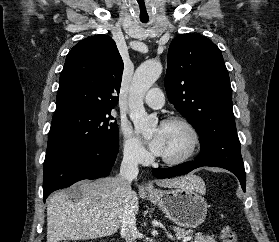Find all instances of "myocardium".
I'll use <instances>...</instances> for the list:
<instances>
[{"label":"myocardium","instance_id":"obj_1","mask_svg":"<svg viewBox=\"0 0 279 242\" xmlns=\"http://www.w3.org/2000/svg\"><path fill=\"white\" fill-rule=\"evenodd\" d=\"M173 124H178L183 126L188 131L190 136L189 147L184 154L176 158H168V157L160 156L161 162H163L166 165L175 166L187 162L195 155L200 144V134L196 126L185 117L173 116V117L166 118L165 120L162 121V125H173Z\"/></svg>","mask_w":279,"mask_h":242}]
</instances>
